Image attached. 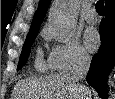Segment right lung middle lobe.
Segmentation results:
<instances>
[{
  "mask_svg": "<svg viewBox=\"0 0 115 99\" xmlns=\"http://www.w3.org/2000/svg\"><path fill=\"white\" fill-rule=\"evenodd\" d=\"M36 36H37V34L27 35V38L25 40V43L23 45V49H22V52L20 55V59H19L18 67H17L18 70L21 69L22 66H24L26 64L32 43L35 40Z\"/></svg>",
  "mask_w": 115,
  "mask_h": 99,
  "instance_id": "obj_1",
  "label": "right lung middle lobe"
}]
</instances>
